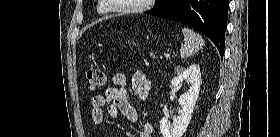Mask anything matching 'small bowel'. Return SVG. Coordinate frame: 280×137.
<instances>
[{
	"instance_id": "c3829d8e",
	"label": "small bowel",
	"mask_w": 280,
	"mask_h": 137,
	"mask_svg": "<svg viewBox=\"0 0 280 137\" xmlns=\"http://www.w3.org/2000/svg\"><path fill=\"white\" fill-rule=\"evenodd\" d=\"M113 85L105 90L104 95H95L90 99V119L93 124L103 122V107L107 106L108 116L116 119L121 115L138 122L139 115L129 101L128 80L124 73L113 75ZM151 89V81L140 71L135 72L130 80V90L140 99H145ZM152 125L143 121L140 123L139 137H152Z\"/></svg>"
}]
</instances>
